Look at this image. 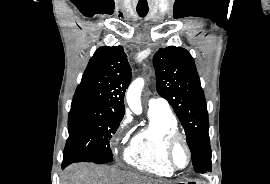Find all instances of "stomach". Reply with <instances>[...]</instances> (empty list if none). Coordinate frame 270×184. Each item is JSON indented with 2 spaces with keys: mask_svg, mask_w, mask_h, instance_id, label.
<instances>
[{
  "mask_svg": "<svg viewBox=\"0 0 270 184\" xmlns=\"http://www.w3.org/2000/svg\"><path fill=\"white\" fill-rule=\"evenodd\" d=\"M183 184H204L202 181L199 180H188L186 182H183Z\"/></svg>",
  "mask_w": 270,
  "mask_h": 184,
  "instance_id": "stomach-1",
  "label": "stomach"
}]
</instances>
